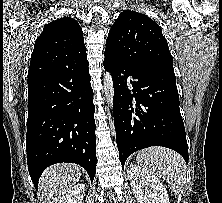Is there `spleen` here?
<instances>
[{
    "instance_id": "3e777b00",
    "label": "spleen",
    "mask_w": 222,
    "mask_h": 203,
    "mask_svg": "<svg viewBox=\"0 0 222 203\" xmlns=\"http://www.w3.org/2000/svg\"><path fill=\"white\" fill-rule=\"evenodd\" d=\"M137 162L152 174L166 180L168 186L178 193L186 183L187 166L177 152L164 147H150L140 150Z\"/></svg>"
}]
</instances>
